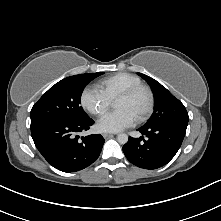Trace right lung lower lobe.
Here are the masks:
<instances>
[{
	"label": "right lung lower lobe",
	"mask_w": 221,
	"mask_h": 221,
	"mask_svg": "<svg viewBox=\"0 0 221 221\" xmlns=\"http://www.w3.org/2000/svg\"><path fill=\"white\" fill-rule=\"evenodd\" d=\"M94 121L49 119L31 123V135L35 146L56 169L69 173L82 170L99 157L105 142L101 135L81 137Z\"/></svg>",
	"instance_id": "right-lung-lower-lobe-1"
}]
</instances>
